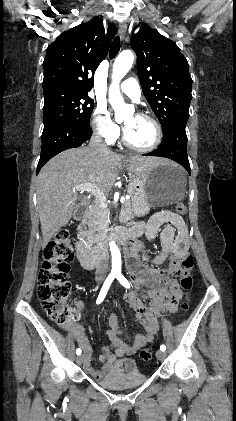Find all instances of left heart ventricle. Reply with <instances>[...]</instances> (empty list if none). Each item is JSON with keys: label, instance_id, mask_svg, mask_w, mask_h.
<instances>
[{"label": "left heart ventricle", "instance_id": "b2bd125f", "mask_svg": "<svg viewBox=\"0 0 236 421\" xmlns=\"http://www.w3.org/2000/svg\"><path fill=\"white\" fill-rule=\"evenodd\" d=\"M125 133L132 144L140 147L151 145L155 138L151 123L134 113L125 118Z\"/></svg>", "mask_w": 236, "mask_h": 421}]
</instances>
